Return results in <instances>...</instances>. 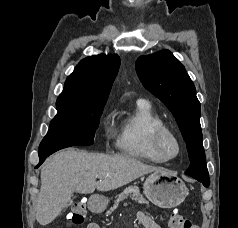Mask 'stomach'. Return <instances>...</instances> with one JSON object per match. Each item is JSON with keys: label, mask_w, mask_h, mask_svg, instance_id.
Instances as JSON below:
<instances>
[{"label": "stomach", "mask_w": 238, "mask_h": 228, "mask_svg": "<svg viewBox=\"0 0 238 228\" xmlns=\"http://www.w3.org/2000/svg\"><path fill=\"white\" fill-rule=\"evenodd\" d=\"M144 194L160 208H174L180 205L188 195L185 183L168 171L154 172L146 178L143 186ZM108 199L103 196L91 198L90 209L103 211L108 205Z\"/></svg>", "instance_id": "1"}]
</instances>
